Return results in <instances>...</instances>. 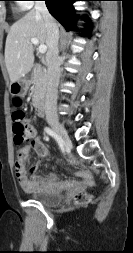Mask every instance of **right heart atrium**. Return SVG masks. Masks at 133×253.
Returning a JSON list of instances; mask_svg holds the SVG:
<instances>
[{
    "label": "right heart atrium",
    "mask_w": 133,
    "mask_h": 253,
    "mask_svg": "<svg viewBox=\"0 0 133 253\" xmlns=\"http://www.w3.org/2000/svg\"><path fill=\"white\" fill-rule=\"evenodd\" d=\"M31 5H32L31 0H21V1H19V6L23 10L30 8Z\"/></svg>",
    "instance_id": "right-heart-atrium-1"
}]
</instances>
